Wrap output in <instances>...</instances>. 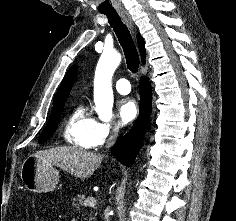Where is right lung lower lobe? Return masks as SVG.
I'll return each mask as SVG.
<instances>
[{
	"label": "right lung lower lobe",
	"instance_id": "obj_1",
	"mask_svg": "<svg viewBox=\"0 0 236 221\" xmlns=\"http://www.w3.org/2000/svg\"><path fill=\"white\" fill-rule=\"evenodd\" d=\"M139 87L140 115L131 130L112 147L113 155L126 166H131L136 158L147 130L151 111L152 90L147 77L140 79Z\"/></svg>",
	"mask_w": 236,
	"mask_h": 221
}]
</instances>
